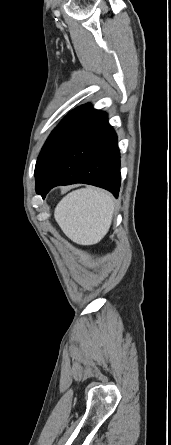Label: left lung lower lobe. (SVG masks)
<instances>
[{
    "label": "left lung lower lobe",
    "mask_w": 171,
    "mask_h": 445,
    "mask_svg": "<svg viewBox=\"0 0 171 445\" xmlns=\"http://www.w3.org/2000/svg\"><path fill=\"white\" fill-rule=\"evenodd\" d=\"M36 177V192L44 198L58 185L85 183L109 190L120 188L117 136L105 112L92 109L73 125L50 152Z\"/></svg>",
    "instance_id": "obj_1"
}]
</instances>
